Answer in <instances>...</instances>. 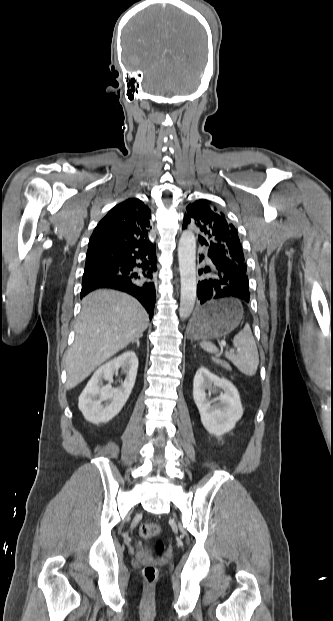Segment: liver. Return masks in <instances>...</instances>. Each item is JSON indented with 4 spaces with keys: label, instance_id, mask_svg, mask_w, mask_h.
Wrapping results in <instances>:
<instances>
[{
    "label": "liver",
    "instance_id": "liver-1",
    "mask_svg": "<svg viewBox=\"0 0 333 621\" xmlns=\"http://www.w3.org/2000/svg\"><path fill=\"white\" fill-rule=\"evenodd\" d=\"M149 323L142 305L114 290H96L84 297L75 327V341L65 356L67 388H74L98 366L137 337Z\"/></svg>",
    "mask_w": 333,
    "mask_h": 621
}]
</instances>
